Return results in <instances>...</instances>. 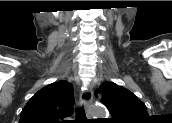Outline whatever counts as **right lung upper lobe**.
<instances>
[{"instance_id": "cb5924a9", "label": "right lung upper lobe", "mask_w": 172, "mask_h": 123, "mask_svg": "<svg viewBox=\"0 0 172 123\" xmlns=\"http://www.w3.org/2000/svg\"><path fill=\"white\" fill-rule=\"evenodd\" d=\"M73 87L58 81L40 89L25 105L19 123H64L72 113Z\"/></svg>"}]
</instances>
